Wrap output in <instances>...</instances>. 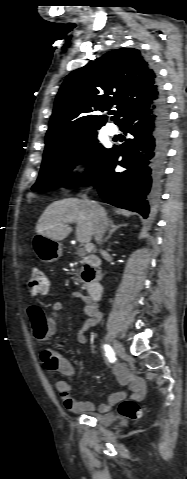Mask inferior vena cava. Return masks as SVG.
Wrapping results in <instances>:
<instances>
[{
  "label": "inferior vena cava",
  "instance_id": "1",
  "mask_svg": "<svg viewBox=\"0 0 187 479\" xmlns=\"http://www.w3.org/2000/svg\"><path fill=\"white\" fill-rule=\"evenodd\" d=\"M84 203L88 206L93 222V235L98 244L103 242V237L108 226V218L104 208L97 202L91 201L86 195L83 197ZM104 253L103 250H100Z\"/></svg>",
  "mask_w": 187,
  "mask_h": 479
}]
</instances>
